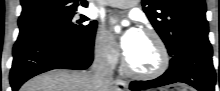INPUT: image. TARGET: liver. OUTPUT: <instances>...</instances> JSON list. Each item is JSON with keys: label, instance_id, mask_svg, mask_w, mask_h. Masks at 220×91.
<instances>
[{"label": "liver", "instance_id": "1", "mask_svg": "<svg viewBox=\"0 0 220 91\" xmlns=\"http://www.w3.org/2000/svg\"><path fill=\"white\" fill-rule=\"evenodd\" d=\"M20 91H94L89 72L57 69L27 81ZM105 91H115L112 86Z\"/></svg>", "mask_w": 220, "mask_h": 91}]
</instances>
